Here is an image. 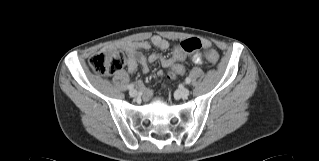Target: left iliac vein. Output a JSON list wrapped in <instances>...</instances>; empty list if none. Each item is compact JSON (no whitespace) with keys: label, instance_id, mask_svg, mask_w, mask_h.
<instances>
[{"label":"left iliac vein","instance_id":"obj_1","mask_svg":"<svg viewBox=\"0 0 319 161\" xmlns=\"http://www.w3.org/2000/svg\"><path fill=\"white\" fill-rule=\"evenodd\" d=\"M189 94H190L189 89L183 88V89H180V90L177 91L176 96L178 98L185 99V98H187L189 96Z\"/></svg>","mask_w":319,"mask_h":161}]
</instances>
